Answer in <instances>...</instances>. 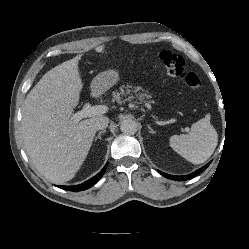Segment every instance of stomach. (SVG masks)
Returning a JSON list of instances; mask_svg holds the SVG:
<instances>
[{
    "label": "stomach",
    "mask_w": 249,
    "mask_h": 249,
    "mask_svg": "<svg viewBox=\"0 0 249 249\" xmlns=\"http://www.w3.org/2000/svg\"><path fill=\"white\" fill-rule=\"evenodd\" d=\"M119 81V73L117 70H108L98 74L91 83V87L95 92L102 93L108 90Z\"/></svg>",
    "instance_id": "0dacf381"
}]
</instances>
